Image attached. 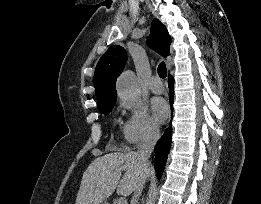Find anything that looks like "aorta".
<instances>
[{
	"label": "aorta",
	"instance_id": "1",
	"mask_svg": "<svg viewBox=\"0 0 261 204\" xmlns=\"http://www.w3.org/2000/svg\"><path fill=\"white\" fill-rule=\"evenodd\" d=\"M117 93L120 98L133 104L140 102V88L132 71H125L120 75L117 81Z\"/></svg>",
	"mask_w": 261,
	"mask_h": 204
}]
</instances>
